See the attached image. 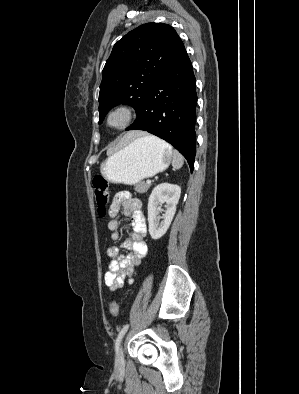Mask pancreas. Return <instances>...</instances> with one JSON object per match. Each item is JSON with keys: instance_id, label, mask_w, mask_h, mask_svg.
Segmentation results:
<instances>
[{"instance_id": "obj_1", "label": "pancreas", "mask_w": 299, "mask_h": 394, "mask_svg": "<svg viewBox=\"0 0 299 394\" xmlns=\"http://www.w3.org/2000/svg\"><path fill=\"white\" fill-rule=\"evenodd\" d=\"M149 188H150V184L141 182L135 186V191L138 193H146Z\"/></svg>"}]
</instances>
